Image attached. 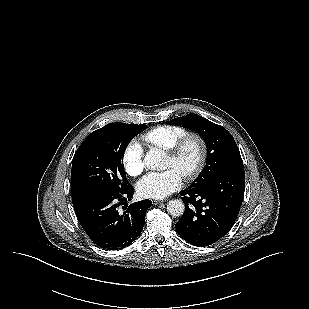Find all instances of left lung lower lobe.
<instances>
[{
    "mask_svg": "<svg viewBox=\"0 0 309 309\" xmlns=\"http://www.w3.org/2000/svg\"><path fill=\"white\" fill-rule=\"evenodd\" d=\"M244 190V169H235L181 191L185 212L175 225L180 237L198 247L219 241L237 219Z\"/></svg>",
    "mask_w": 309,
    "mask_h": 309,
    "instance_id": "left-lung-lower-lobe-1",
    "label": "left lung lower lobe"
}]
</instances>
